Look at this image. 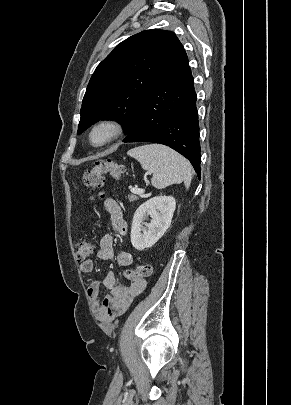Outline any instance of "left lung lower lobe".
Segmentation results:
<instances>
[{
	"instance_id": "0a47b994",
	"label": "left lung lower lobe",
	"mask_w": 291,
	"mask_h": 405,
	"mask_svg": "<svg viewBox=\"0 0 291 405\" xmlns=\"http://www.w3.org/2000/svg\"><path fill=\"white\" fill-rule=\"evenodd\" d=\"M194 79L183 50L141 103L138 120L124 142H153L185 156L200 178L199 126Z\"/></svg>"
}]
</instances>
